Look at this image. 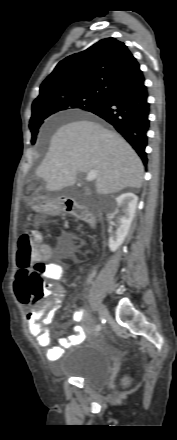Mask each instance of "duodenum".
Masks as SVG:
<instances>
[{
	"mask_svg": "<svg viewBox=\"0 0 177 440\" xmlns=\"http://www.w3.org/2000/svg\"><path fill=\"white\" fill-rule=\"evenodd\" d=\"M61 211L70 213L75 217L85 221L90 226L95 225V219L92 217L87 208L71 199H64L62 201Z\"/></svg>",
	"mask_w": 177,
	"mask_h": 440,
	"instance_id": "duodenum-1",
	"label": "duodenum"
}]
</instances>
